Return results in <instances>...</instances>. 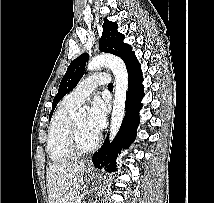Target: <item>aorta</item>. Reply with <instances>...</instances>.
Listing matches in <instances>:
<instances>
[{"label": "aorta", "instance_id": "1", "mask_svg": "<svg viewBox=\"0 0 214 203\" xmlns=\"http://www.w3.org/2000/svg\"><path fill=\"white\" fill-rule=\"evenodd\" d=\"M102 67L111 69L115 77V96L114 104L110 123V141L116 136L125 114V101L128 89V72L125 63L121 58L110 55L102 54L93 57L87 64L88 70H96ZM86 112L84 108H80L75 114L77 118L85 117ZM104 172V169L102 170ZM101 180V176L99 182Z\"/></svg>", "mask_w": 214, "mask_h": 203}]
</instances>
